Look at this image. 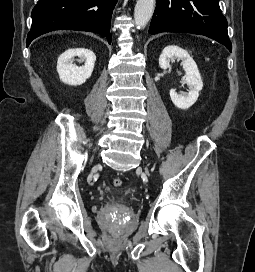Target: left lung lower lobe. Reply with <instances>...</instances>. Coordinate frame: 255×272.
I'll use <instances>...</instances> for the list:
<instances>
[{"mask_svg":"<svg viewBox=\"0 0 255 272\" xmlns=\"http://www.w3.org/2000/svg\"><path fill=\"white\" fill-rule=\"evenodd\" d=\"M161 32L204 35L232 51L227 20L220 10L219 0H156L149 33Z\"/></svg>","mask_w":255,"mask_h":272,"instance_id":"obj_1","label":"left lung lower lobe"}]
</instances>
